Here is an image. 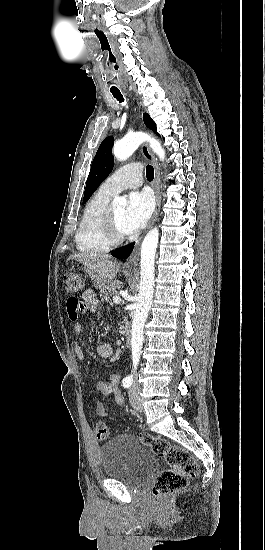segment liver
<instances>
[{
    "label": "liver",
    "instance_id": "6515ba94",
    "mask_svg": "<svg viewBox=\"0 0 265 550\" xmlns=\"http://www.w3.org/2000/svg\"><path fill=\"white\" fill-rule=\"evenodd\" d=\"M69 259L82 263L97 277L108 282L116 276L120 269V263L105 254H75L71 255Z\"/></svg>",
    "mask_w": 265,
    "mask_h": 550
}]
</instances>
